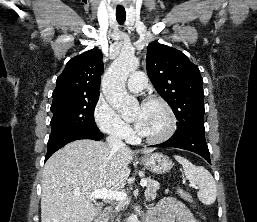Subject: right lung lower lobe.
<instances>
[{"label": "right lung lower lobe", "instance_id": "1", "mask_svg": "<svg viewBox=\"0 0 257 222\" xmlns=\"http://www.w3.org/2000/svg\"><path fill=\"white\" fill-rule=\"evenodd\" d=\"M103 137L101 132H82V131H71L60 134L54 138H50L48 141V150L45 157V161L58 149L64 145L79 139H92L100 140Z\"/></svg>", "mask_w": 257, "mask_h": 222}]
</instances>
